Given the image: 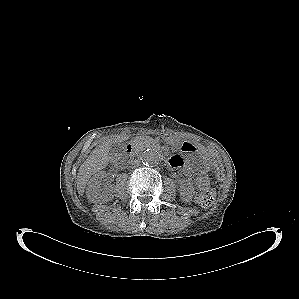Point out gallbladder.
<instances>
[{
    "mask_svg": "<svg viewBox=\"0 0 299 299\" xmlns=\"http://www.w3.org/2000/svg\"><path fill=\"white\" fill-rule=\"evenodd\" d=\"M125 151L124 143H116L111 146L110 152L112 155L114 154H122Z\"/></svg>",
    "mask_w": 299,
    "mask_h": 299,
    "instance_id": "bac80fb5",
    "label": "gallbladder"
}]
</instances>
